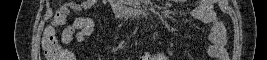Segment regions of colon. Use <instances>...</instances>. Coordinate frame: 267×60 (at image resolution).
<instances>
[{
	"instance_id": "1",
	"label": "colon",
	"mask_w": 267,
	"mask_h": 60,
	"mask_svg": "<svg viewBox=\"0 0 267 60\" xmlns=\"http://www.w3.org/2000/svg\"><path fill=\"white\" fill-rule=\"evenodd\" d=\"M66 19V13H61L57 19L58 24H62ZM80 23H77L79 26ZM42 51L44 57L48 60H62L64 57L69 59L67 53L58 43V40L53 31H48L42 39Z\"/></svg>"
}]
</instances>
